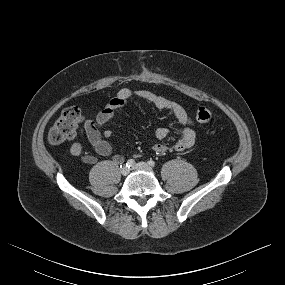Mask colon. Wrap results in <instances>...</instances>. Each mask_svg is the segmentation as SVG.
Returning a JSON list of instances; mask_svg holds the SVG:
<instances>
[{
  "mask_svg": "<svg viewBox=\"0 0 285 285\" xmlns=\"http://www.w3.org/2000/svg\"><path fill=\"white\" fill-rule=\"evenodd\" d=\"M213 118L214 112L209 108L199 107L196 111V120L200 123L210 122ZM83 121L84 115L78 107L71 106L64 109L49 129V142L59 145L72 139Z\"/></svg>",
  "mask_w": 285,
  "mask_h": 285,
  "instance_id": "1",
  "label": "colon"
}]
</instances>
